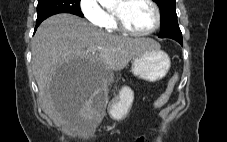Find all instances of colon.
Instances as JSON below:
<instances>
[{
  "instance_id": "obj_1",
  "label": "colon",
  "mask_w": 227,
  "mask_h": 142,
  "mask_svg": "<svg viewBox=\"0 0 227 142\" xmlns=\"http://www.w3.org/2000/svg\"><path fill=\"white\" fill-rule=\"evenodd\" d=\"M176 82H177V77H173L169 81V84H168L166 90L153 103V109L154 110L160 109L162 106H164L167 103V101L169 100V98L172 94V91H173V88H174Z\"/></svg>"
}]
</instances>
